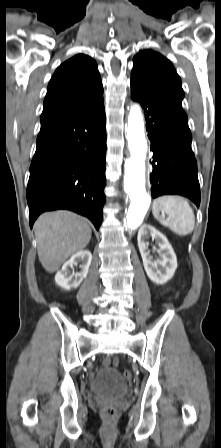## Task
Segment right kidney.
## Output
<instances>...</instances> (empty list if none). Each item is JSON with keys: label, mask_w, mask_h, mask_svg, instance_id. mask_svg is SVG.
Returning <instances> with one entry per match:
<instances>
[{"label": "right kidney", "mask_w": 221, "mask_h": 448, "mask_svg": "<svg viewBox=\"0 0 221 448\" xmlns=\"http://www.w3.org/2000/svg\"><path fill=\"white\" fill-rule=\"evenodd\" d=\"M91 260L92 254L89 250L79 251L72 255V257L62 266V269L57 272L55 276L56 284L66 290L78 287L88 274ZM78 262L82 263L80 265L81 270L71 274L70 268H73Z\"/></svg>", "instance_id": "1"}]
</instances>
